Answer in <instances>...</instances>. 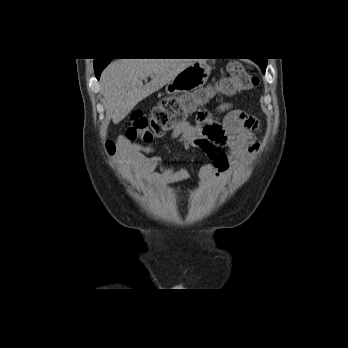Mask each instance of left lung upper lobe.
<instances>
[{
    "instance_id": "1",
    "label": "left lung upper lobe",
    "mask_w": 348,
    "mask_h": 348,
    "mask_svg": "<svg viewBox=\"0 0 348 348\" xmlns=\"http://www.w3.org/2000/svg\"><path fill=\"white\" fill-rule=\"evenodd\" d=\"M259 66L261 67L262 71L265 72L266 66H267V59L257 61Z\"/></svg>"
}]
</instances>
